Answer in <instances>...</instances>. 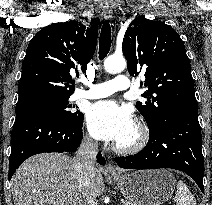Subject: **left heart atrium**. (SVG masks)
<instances>
[{
  "instance_id": "1",
  "label": "left heart atrium",
  "mask_w": 212,
  "mask_h": 205,
  "mask_svg": "<svg viewBox=\"0 0 212 205\" xmlns=\"http://www.w3.org/2000/svg\"><path fill=\"white\" fill-rule=\"evenodd\" d=\"M87 124L93 137L119 142L134 128L131 110L114 101H101L93 104L87 112Z\"/></svg>"
}]
</instances>
